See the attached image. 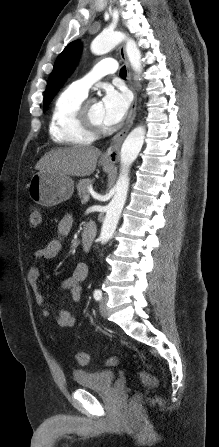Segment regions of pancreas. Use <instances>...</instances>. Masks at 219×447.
Here are the masks:
<instances>
[{
    "instance_id": "1",
    "label": "pancreas",
    "mask_w": 219,
    "mask_h": 447,
    "mask_svg": "<svg viewBox=\"0 0 219 447\" xmlns=\"http://www.w3.org/2000/svg\"><path fill=\"white\" fill-rule=\"evenodd\" d=\"M91 179H81L77 184V191L80 198H83L85 195H88V186L91 185Z\"/></svg>"
}]
</instances>
